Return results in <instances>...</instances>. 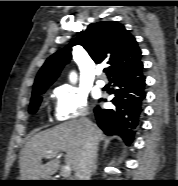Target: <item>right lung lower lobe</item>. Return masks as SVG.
<instances>
[{
  "instance_id": "98d812e1",
  "label": "right lung lower lobe",
  "mask_w": 178,
  "mask_h": 186,
  "mask_svg": "<svg viewBox=\"0 0 178 186\" xmlns=\"http://www.w3.org/2000/svg\"><path fill=\"white\" fill-rule=\"evenodd\" d=\"M109 80L113 86L118 87L112 91L114 97L111 102L114 107L105 110L97 106L94 109L97 124L105 134L121 136L127 144H130L146 97L143 63L139 61L127 66Z\"/></svg>"
}]
</instances>
